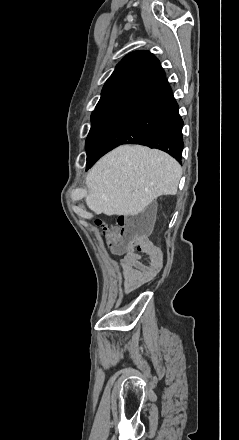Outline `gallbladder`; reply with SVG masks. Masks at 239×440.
<instances>
[{
	"label": "gallbladder",
	"instance_id": "bac80fb5",
	"mask_svg": "<svg viewBox=\"0 0 239 440\" xmlns=\"http://www.w3.org/2000/svg\"><path fill=\"white\" fill-rule=\"evenodd\" d=\"M147 226H148V228H150V226H151V224H150L148 218H147Z\"/></svg>",
	"mask_w": 239,
	"mask_h": 440
}]
</instances>
